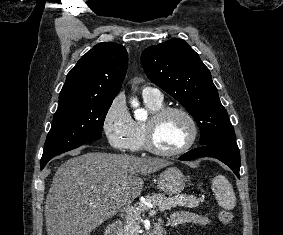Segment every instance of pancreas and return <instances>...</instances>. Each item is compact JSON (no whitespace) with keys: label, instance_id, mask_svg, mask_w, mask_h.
I'll return each mask as SVG.
<instances>
[{"label":"pancreas","instance_id":"obj_1","mask_svg":"<svg viewBox=\"0 0 283 235\" xmlns=\"http://www.w3.org/2000/svg\"><path fill=\"white\" fill-rule=\"evenodd\" d=\"M146 201L151 202L155 206H158L159 210L163 212L177 206L196 208L199 206L201 199L187 194L176 195L174 197H166L163 194H149L146 196ZM138 207L139 212L137 214L125 217L123 235H139V231L141 230L140 213L147 210V207L142 202L138 203Z\"/></svg>","mask_w":283,"mask_h":235}]
</instances>
